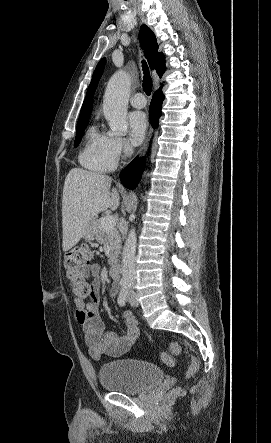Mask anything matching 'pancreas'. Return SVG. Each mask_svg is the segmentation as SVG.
I'll list each match as a JSON object with an SVG mask.
<instances>
[{"mask_svg":"<svg viewBox=\"0 0 271 443\" xmlns=\"http://www.w3.org/2000/svg\"><path fill=\"white\" fill-rule=\"evenodd\" d=\"M94 229L95 239H98L100 243H109L111 251H113L111 257H115L116 253H119L121 245L117 229H114V227L104 229L101 225V220H95ZM111 257H109V259H111Z\"/></svg>","mask_w":271,"mask_h":443,"instance_id":"1","label":"pancreas"}]
</instances>
